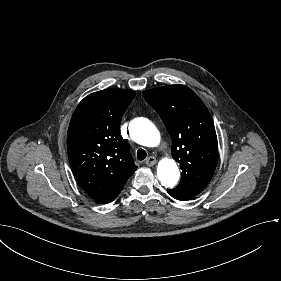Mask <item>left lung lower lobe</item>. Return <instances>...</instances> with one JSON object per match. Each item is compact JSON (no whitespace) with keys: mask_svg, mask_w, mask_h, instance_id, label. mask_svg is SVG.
<instances>
[{"mask_svg":"<svg viewBox=\"0 0 281 281\" xmlns=\"http://www.w3.org/2000/svg\"><path fill=\"white\" fill-rule=\"evenodd\" d=\"M167 192L175 199L177 200H181V201H185V200H189L191 198H193L194 196L184 193V192H180L177 191L175 189H168Z\"/></svg>","mask_w":281,"mask_h":281,"instance_id":"left-lung-lower-lobe-1","label":"left lung lower lobe"}]
</instances>
